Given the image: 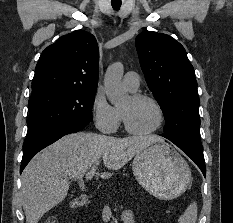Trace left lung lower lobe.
Returning a JSON list of instances; mask_svg holds the SVG:
<instances>
[{
  "mask_svg": "<svg viewBox=\"0 0 233 223\" xmlns=\"http://www.w3.org/2000/svg\"><path fill=\"white\" fill-rule=\"evenodd\" d=\"M169 140L172 141L176 146H178L184 153H186L201 169L204 177H206V166L204 161L202 144L172 139Z\"/></svg>",
  "mask_w": 233,
  "mask_h": 223,
  "instance_id": "left-lung-lower-lobe-1",
  "label": "left lung lower lobe"
}]
</instances>
